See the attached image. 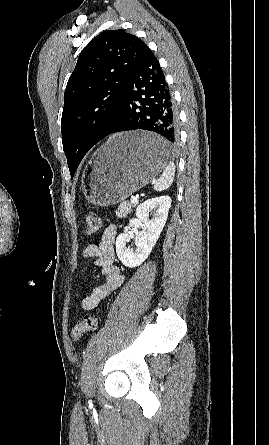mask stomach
Here are the masks:
<instances>
[{
	"label": "stomach",
	"instance_id": "stomach-1",
	"mask_svg": "<svg viewBox=\"0 0 269 445\" xmlns=\"http://www.w3.org/2000/svg\"><path fill=\"white\" fill-rule=\"evenodd\" d=\"M166 142L149 132H123L110 137L93 155L83 175L88 202L110 206L152 182L170 161Z\"/></svg>",
	"mask_w": 269,
	"mask_h": 445
}]
</instances>
